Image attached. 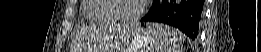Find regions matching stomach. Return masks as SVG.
Wrapping results in <instances>:
<instances>
[{"label":"stomach","instance_id":"stomach-1","mask_svg":"<svg viewBox=\"0 0 261 52\" xmlns=\"http://www.w3.org/2000/svg\"><path fill=\"white\" fill-rule=\"evenodd\" d=\"M121 33L116 38L117 52H152L155 41L148 29H129L127 27H113Z\"/></svg>","mask_w":261,"mask_h":52}]
</instances>
